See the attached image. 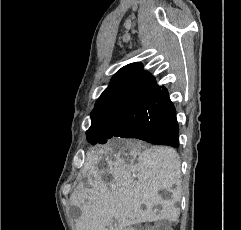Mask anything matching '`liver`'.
Wrapping results in <instances>:
<instances>
[{"label":"liver","mask_w":241,"mask_h":230,"mask_svg":"<svg viewBox=\"0 0 241 230\" xmlns=\"http://www.w3.org/2000/svg\"><path fill=\"white\" fill-rule=\"evenodd\" d=\"M98 153L99 159L89 156L93 166L87 174L88 187H81L70 198L82 212L77 230H108L114 219L119 230L140 222L178 219L180 211L175 204L180 199L181 162L175 150L151 147L141 151L136 145H126L118 151L105 146ZM105 176L113 180L111 189L104 182ZM173 186L172 199L163 200L158 191ZM157 204L162 205L159 213L153 210Z\"/></svg>","instance_id":"6515ba94"}]
</instances>
